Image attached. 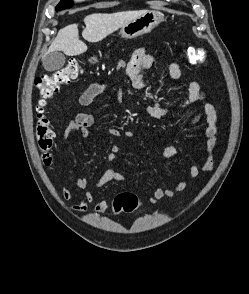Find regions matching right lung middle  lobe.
<instances>
[{
	"label": "right lung middle lobe",
	"instance_id": "dd1d6c3e",
	"mask_svg": "<svg viewBox=\"0 0 249 294\" xmlns=\"http://www.w3.org/2000/svg\"><path fill=\"white\" fill-rule=\"evenodd\" d=\"M73 6L72 0H61V2L56 6V11L67 9Z\"/></svg>",
	"mask_w": 249,
	"mask_h": 294
}]
</instances>
